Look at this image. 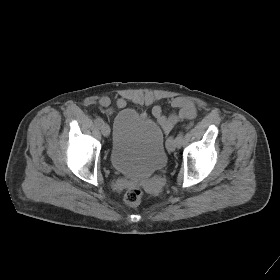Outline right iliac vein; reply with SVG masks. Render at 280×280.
I'll return each mask as SVG.
<instances>
[{
	"instance_id": "right-iliac-vein-1",
	"label": "right iliac vein",
	"mask_w": 280,
	"mask_h": 280,
	"mask_svg": "<svg viewBox=\"0 0 280 280\" xmlns=\"http://www.w3.org/2000/svg\"><path fill=\"white\" fill-rule=\"evenodd\" d=\"M100 130H101V133L104 135V136H109L110 134V127L103 123L101 126H100Z\"/></svg>"
}]
</instances>
